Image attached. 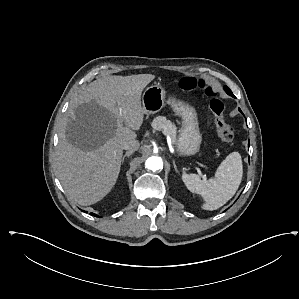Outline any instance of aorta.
<instances>
[{
    "mask_svg": "<svg viewBox=\"0 0 299 299\" xmlns=\"http://www.w3.org/2000/svg\"><path fill=\"white\" fill-rule=\"evenodd\" d=\"M145 167L151 171L163 169V161L159 156H151L145 162Z\"/></svg>",
    "mask_w": 299,
    "mask_h": 299,
    "instance_id": "762f6f07",
    "label": "aorta"
}]
</instances>
